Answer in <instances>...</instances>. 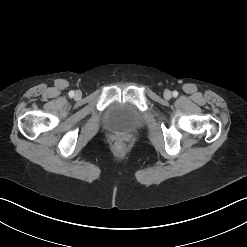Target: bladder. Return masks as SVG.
<instances>
[{
  "mask_svg": "<svg viewBox=\"0 0 247 247\" xmlns=\"http://www.w3.org/2000/svg\"><path fill=\"white\" fill-rule=\"evenodd\" d=\"M105 128L113 133H130L144 124L141 112L131 103L116 101L111 103L103 116Z\"/></svg>",
  "mask_w": 247,
  "mask_h": 247,
  "instance_id": "obj_1",
  "label": "bladder"
}]
</instances>
